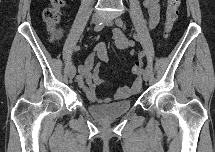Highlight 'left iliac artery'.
I'll return each instance as SVG.
<instances>
[{"instance_id": "1", "label": "left iliac artery", "mask_w": 215, "mask_h": 152, "mask_svg": "<svg viewBox=\"0 0 215 152\" xmlns=\"http://www.w3.org/2000/svg\"><path fill=\"white\" fill-rule=\"evenodd\" d=\"M115 23L119 27H123L124 26V23H123V21L121 19H116ZM133 37H134L135 40L139 41L138 35L133 34ZM143 56H144V52H141L140 53V57H143ZM143 72H144L143 69H138V74H143Z\"/></svg>"}]
</instances>
